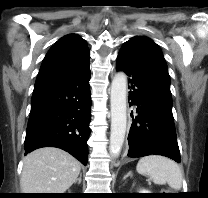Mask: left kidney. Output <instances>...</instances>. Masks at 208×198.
<instances>
[{
    "label": "left kidney",
    "mask_w": 208,
    "mask_h": 198,
    "mask_svg": "<svg viewBox=\"0 0 208 198\" xmlns=\"http://www.w3.org/2000/svg\"><path fill=\"white\" fill-rule=\"evenodd\" d=\"M139 193H150V191H146L145 189H142L141 191H139Z\"/></svg>",
    "instance_id": "1"
}]
</instances>
